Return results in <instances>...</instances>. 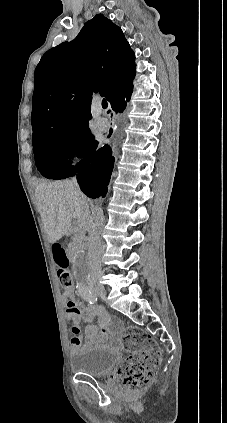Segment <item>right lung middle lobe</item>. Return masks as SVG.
I'll use <instances>...</instances> for the list:
<instances>
[{
	"mask_svg": "<svg viewBox=\"0 0 227 423\" xmlns=\"http://www.w3.org/2000/svg\"><path fill=\"white\" fill-rule=\"evenodd\" d=\"M94 137L90 133L54 135L33 142L35 163L40 173L48 179H65L76 166L70 165L71 151L82 157Z\"/></svg>",
	"mask_w": 227,
	"mask_h": 423,
	"instance_id": "obj_1",
	"label": "right lung middle lobe"
}]
</instances>
